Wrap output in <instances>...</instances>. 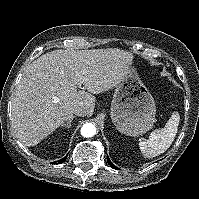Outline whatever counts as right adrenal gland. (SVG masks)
Returning a JSON list of instances; mask_svg holds the SVG:
<instances>
[{
  "instance_id": "obj_1",
  "label": "right adrenal gland",
  "mask_w": 199,
  "mask_h": 199,
  "mask_svg": "<svg viewBox=\"0 0 199 199\" xmlns=\"http://www.w3.org/2000/svg\"><path fill=\"white\" fill-rule=\"evenodd\" d=\"M73 119H74V116H71L69 118V120L66 123H63L61 126L62 127H66V128H70L71 127V122H72Z\"/></svg>"
}]
</instances>
